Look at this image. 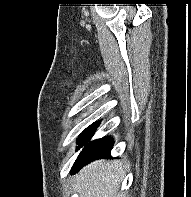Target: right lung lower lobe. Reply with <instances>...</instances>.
Instances as JSON below:
<instances>
[{"instance_id":"obj_1","label":"right lung lower lobe","mask_w":191,"mask_h":197,"mask_svg":"<svg viewBox=\"0 0 191 197\" xmlns=\"http://www.w3.org/2000/svg\"><path fill=\"white\" fill-rule=\"evenodd\" d=\"M100 122H95L86 128L79 136L77 149L84 146L82 152L76 159L71 173L74 174L86 164L104 157H110V151L114 145V139L111 136H106L98 140L90 141L93 134L97 130Z\"/></svg>"}]
</instances>
